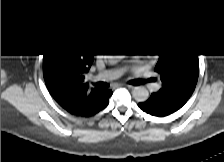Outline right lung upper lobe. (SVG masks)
<instances>
[{
  "label": "right lung upper lobe",
  "instance_id": "obj_1",
  "mask_svg": "<svg viewBox=\"0 0 224 162\" xmlns=\"http://www.w3.org/2000/svg\"><path fill=\"white\" fill-rule=\"evenodd\" d=\"M92 61L91 51L70 43L57 47L52 56L43 60L44 80L50 94L76 116L96 114L108 104L112 95L110 90L89 89L84 81Z\"/></svg>",
  "mask_w": 224,
  "mask_h": 162
}]
</instances>
